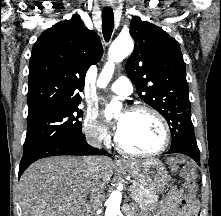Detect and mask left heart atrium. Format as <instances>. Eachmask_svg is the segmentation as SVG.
<instances>
[{"instance_id": "1", "label": "left heart atrium", "mask_w": 221, "mask_h": 216, "mask_svg": "<svg viewBox=\"0 0 221 216\" xmlns=\"http://www.w3.org/2000/svg\"><path fill=\"white\" fill-rule=\"evenodd\" d=\"M116 135L117 137L120 135L121 130H122V120L120 119L119 122L116 125Z\"/></svg>"}]
</instances>
